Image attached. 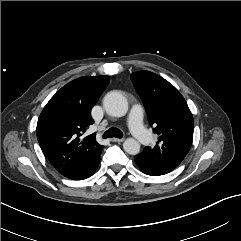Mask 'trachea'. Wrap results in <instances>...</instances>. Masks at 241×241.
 Masks as SVG:
<instances>
[{
  "label": "trachea",
  "mask_w": 241,
  "mask_h": 241,
  "mask_svg": "<svg viewBox=\"0 0 241 241\" xmlns=\"http://www.w3.org/2000/svg\"><path fill=\"white\" fill-rule=\"evenodd\" d=\"M103 138H122L123 137V133L117 129V128H109L107 131H105V133L102 136Z\"/></svg>",
  "instance_id": "obj_1"
}]
</instances>
